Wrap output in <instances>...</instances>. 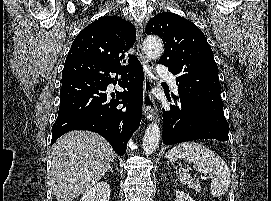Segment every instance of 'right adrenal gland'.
<instances>
[{
  "instance_id": "2a0ac1e0",
  "label": "right adrenal gland",
  "mask_w": 271,
  "mask_h": 201,
  "mask_svg": "<svg viewBox=\"0 0 271 201\" xmlns=\"http://www.w3.org/2000/svg\"><path fill=\"white\" fill-rule=\"evenodd\" d=\"M108 171L113 172V167L111 166Z\"/></svg>"
}]
</instances>
